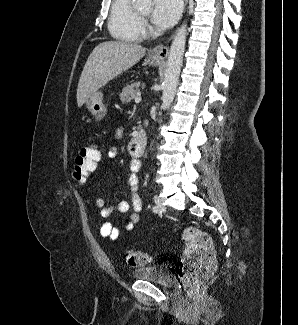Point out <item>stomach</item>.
<instances>
[{
  "label": "stomach",
  "instance_id": "1",
  "mask_svg": "<svg viewBox=\"0 0 298 325\" xmlns=\"http://www.w3.org/2000/svg\"><path fill=\"white\" fill-rule=\"evenodd\" d=\"M165 58H153V56H146L144 58V66H159V64H163ZM104 90H96L94 94H91L89 100L85 102V106L93 116H95L96 120H102L104 116L107 114V106L104 104Z\"/></svg>",
  "mask_w": 298,
  "mask_h": 325
}]
</instances>
